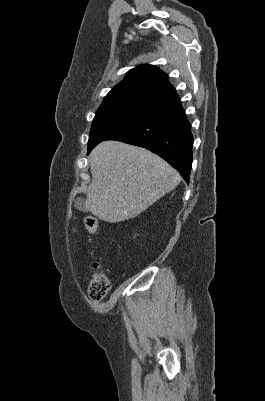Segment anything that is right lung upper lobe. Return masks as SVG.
Returning <instances> with one entry per match:
<instances>
[{
  "mask_svg": "<svg viewBox=\"0 0 265 401\" xmlns=\"http://www.w3.org/2000/svg\"><path fill=\"white\" fill-rule=\"evenodd\" d=\"M177 100L179 96L167 74L156 66L140 65L128 71L125 78L107 94L101 106L128 102L165 106Z\"/></svg>",
  "mask_w": 265,
  "mask_h": 401,
  "instance_id": "1",
  "label": "right lung upper lobe"
}]
</instances>
